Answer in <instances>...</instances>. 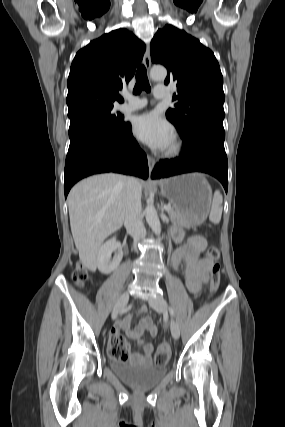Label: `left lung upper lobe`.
Masks as SVG:
<instances>
[{"label":"left lung upper lobe","mask_w":285,"mask_h":427,"mask_svg":"<svg viewBox=\"0 0 285 427\" xmlns=\"http://www.w3.org/2000/svg\"><path fill=\"white\" fill-rule=\"evenodd\" d=\"M150 53L153 63L168 69L165 84L177 83L173 100L178 102L166 112V117L181 137L206 123L223 127V77L214 53L172 25L157 31Z\"/></svg>","instance_id":"1"}]
</instances>
